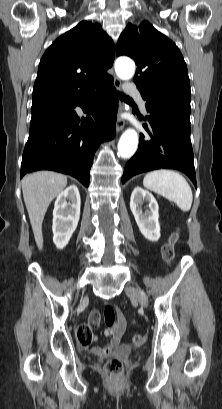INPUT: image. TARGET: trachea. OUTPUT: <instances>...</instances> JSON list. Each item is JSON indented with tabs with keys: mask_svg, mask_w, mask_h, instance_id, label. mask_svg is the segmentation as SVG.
Masks as SVG:
<instances>
[{
	"mask_svg": "<svg viewBox=\"0 0 222 409\" xmlns=\"http://www.w3.org/2000/svg\"><path fill=\"white\" fill-rule=\"evenodd\" d=\"M118 96H119L120 99H131L129 96H127V95H125V94H123L121 92H118Z\"/></svg>",
	"mask_w": 222,
	"mask_h": 409,
	"instance_id": "trachea-1",
	"label": "trachea"
}]
</instances>
